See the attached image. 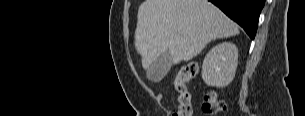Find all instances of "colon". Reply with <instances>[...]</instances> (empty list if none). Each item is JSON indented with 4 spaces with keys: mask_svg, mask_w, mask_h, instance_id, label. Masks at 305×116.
Here are the masks:
<instances>
[{
    "mask_svg": "<svg viewBox=\"0 0 305 116\" xmlns=\"http://www.w3.org/2000/svg\"><path fill=\"white\" fill-rule=\"evenodd\" d=\"M200 71V67L196 62H190L182 66L174 79V87L178 93L179 107L177 112L172 116H192V105L190 94L186 88V82L195 78ZM203 109L208 114H216L226 109V104L219 98L216 92H210L205 98Z\"/></svg>",
    "mask_w": 305,
    "mask_h": 116,
    "instance_id": "5ec220e1",
    "label": "colon"
}]
</instances>
